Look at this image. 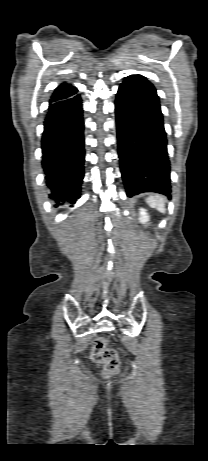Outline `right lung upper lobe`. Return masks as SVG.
Segmentation results:
<instances>
[{
  "mask_svg": "<svg viewBox=\"0 0 208 461\" xmlns=\"http://www.w3.org/2000/svg\"><path fill=\"white\" fill-rule=\"evenodd\" d=\"M77 89L71 84L62 83L53 92L50 103L69 98L77 93Z\"/></svg>",
  "mask_w": 208,
  "mask_h": 461,
  "instance_id": "1",
  "label": "right lung upper lobe"
}]
</instances>
